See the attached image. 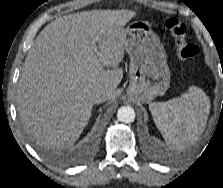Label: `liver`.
<instances>
[{"label":"liver","mask_w":223,"mask_h":188,"mask_svg":"<svg viewBox=\"0 0 223 188\" xmlns=\"http://www.w3.org/2000/svg\"><path fill=\"white\" fill-rule=\"evenodd\" d=\"M135 15L123 9L84 11L59 17L40 32L16 96L24 129L38 144L72 146L91 117V92L105 90L113 98L123 77L124 26Z\"/></svg>","instance_id":"liver-1"}]
</instances>
